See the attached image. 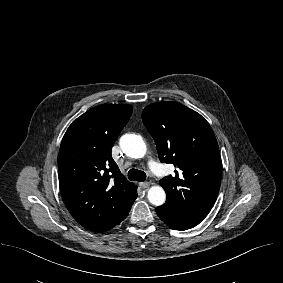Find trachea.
Segmentation results:
<instances>
[{
	"instance_id": "3493384b",
	"label": "trachea",
	"mask_w": 283,
	"mask_h": 283,
	"mask_svg": "<svg viewBox=\"0 0 283 283\" xmlns=\"http://www.w3.org/2000/svg\"><path fill=\"white\" fill-rule=\"evenodd\" d=\"M128 178L131 181L143 182L146 179V173L138 169H130L128 171Z\"/></svg>"
}]
</instances>
